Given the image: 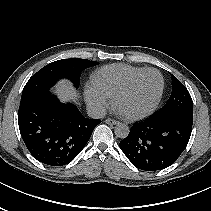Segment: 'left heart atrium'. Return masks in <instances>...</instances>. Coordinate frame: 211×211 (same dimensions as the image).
I'll list each match as a JSON object with an SVG mask.
<instances>
[{"label": "left heart atrium", "instance_id": "left-heart-atrium-1", "mask_svg": "<svg viewBox=\"0 0 211 211\" xmlns=\"http://www.w3.org/2000/svg\"><path fill=\"white\" fill-rule=\"evenodd\" d=\"M118 112L123 113L118 107H117Z\"/></svg>", "mask_w": 211, "mask_h": 211}]
</instances>
